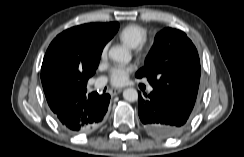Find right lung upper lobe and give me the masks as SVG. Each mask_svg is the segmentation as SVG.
<instances>
[{
    "instance_id": "1",
    "label": "right lung upper lobe",
    "mask_w": 244,
    "mask_h": 157,
    "mask_svg": "<svg viewBox=\"0 0 244 157\" xmlns=\"http://www.w3.org/2000/svg\"><path fill=\"white\" fill-rule=\"evenodd\" d=\"M118 28L117 22L89 23L59 34L47 49L41 68L45 96L85 90L104 46Z\"/></svg>"
}]
</instances>
